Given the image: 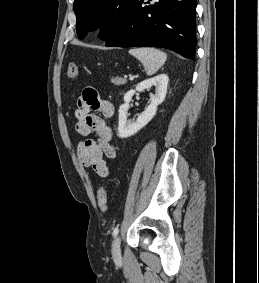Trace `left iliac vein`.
<instances>
[{
    "label": "left iliac vein",
    "mask_w": 259,
    "mask_h": 283,
    "mask_svg": "<svg viewBox=\"0 0 259 283\" xmlns=\"http://www.w3.org/2000/svg\"><path fill=\"white\" fill-rule=\"evenodd\" d=\"M120 243H121V239L119 236H117L114 240H113V244H112V255L114 257H117L120 255Z\"/></svg>",
    "instance_id": "4c4485c4"
}]
</instances>
